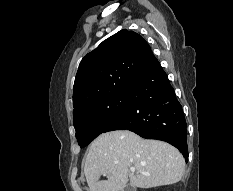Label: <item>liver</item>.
Segmentation results:
<instances>
[{
  "instance_id": "1",
  "label": "liver",
  "mask_w": 233,
  "mask_h": 191,
  "mask_svg": "<svg viewBox=\"0 0 233 191\" xmlns=\"http://www.w3.org/2000/svg\"><path fill=\"white\" fill-rule=\"evenodd\" d=\"M131 167L137 172H131ZM184 169L185 160L172 145L145 140L128 130H115L102 133L90 144L84 173L89 191H123L128 182L138 188L177 183ZM102 175L107 180L100 181Z\"/></svg>"
}]
</instances>
